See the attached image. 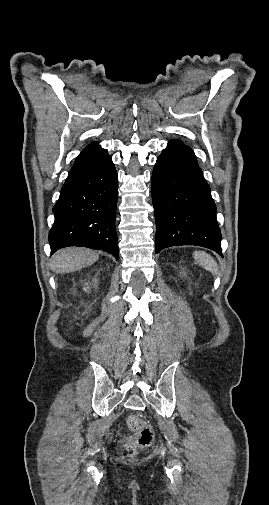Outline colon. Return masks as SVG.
<instances>
[{"instance_id":"5ec220e1","label":"colon","mask_w":269,"mask_h":505,"mask_svg":"<svg viewBox=\"0 0 269 505\" xmlns=\"http://www.w3.org/2000/svg\"><path fill=\"white\" fill-rule=\"evenodd\" d=\"M134 435L123 442L122 452L125 456H133L137 447H148L152 444L154 434L151 427L139 417L133 416L129 421Z\"/></svg>"}]
</instances>
